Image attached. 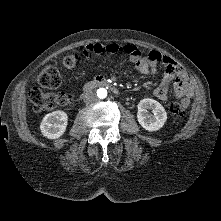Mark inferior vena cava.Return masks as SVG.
Returning a JSON list of instances; mask_svg holds the SVG:
<instances>
[{
  "instance_id": "inferior-vena-cava-1",
  "label": "inferior vena cava",
  "mask_w": 221,
  "mask_h": 221,
  "mask_svg": "<svg viewBox=\"0 0 221 221\" xmlns=\"http://www.w3.org/2000/svg\"><path fill=\"white\" fill-rule=\"evenodd\" d=\"M96 94L94 92H87L83 95V100L85 103L89 104L91 102H94L96 100Z\"/></svg>"
}]
</instances>
